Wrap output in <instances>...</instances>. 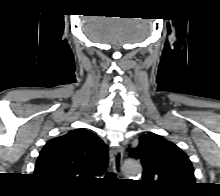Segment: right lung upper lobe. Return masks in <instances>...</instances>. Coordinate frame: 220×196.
Listing matches in <instances>:
<instances>
[{
  "mask_svg": "<svg viewBox=\"0 0 220 196\" xmlns=\"http://www.w3.org/2000/svg\"><path fill=\"white\" fill-rule=\"evenodd\" d=\"M108 164L105 143L86 129H76L47 142L34 175L47 183L75 187L104 174Z\"/></svg>",
  "mask_w": 220,
  "mask_h": 196,
  "instance_id": "cb5924a9",
  "label": "right lung upper lobe"
}]
</instances>
